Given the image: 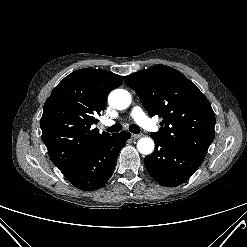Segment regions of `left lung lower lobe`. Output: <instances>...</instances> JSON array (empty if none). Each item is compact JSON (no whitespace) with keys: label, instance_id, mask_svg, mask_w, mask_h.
Masks as SVG:
<instances>
[{"label":"left lung lower lobe","instance_id":"obj_1","mask_svg":"<svg viewBox=\"0 0 247 247\" xmlns=\"http://www.w3.org/2000/svg\"><path fill=\"white\" fill-rule=\"evenodd\" d=\"M154 152L145 158L150 176L162 186L175 187L186 182L204 161L198 153L166 144L151 135Z\"/></svg>","mask_w":247,"mask_h":247}]
</instances>
